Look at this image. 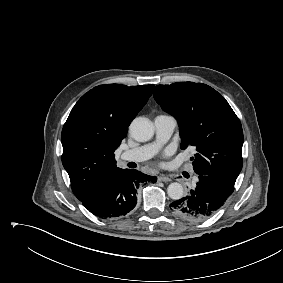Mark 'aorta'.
Wrapping results in <instances>:
<instances>
[{"label": "aorta", "instance_id": "aorta-1", "mask_svg": "<svg viewBox=\"0 0 283 283\" xmlns=\"http://www.w3.org/2000/svg\"><path fill=\"white\" fill-rule=\"evenodd\" d=\"M129 131L136 141L146 142L153 137L154 127L149 119L138 117L131 122ZM167 193L171 199L179 200L183 197L184 189L180 183L173 182L168 186Z\"/></svg>", "mask_w": 283, "mask_h": 283}]
</instances>
